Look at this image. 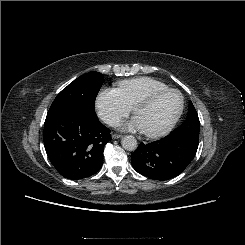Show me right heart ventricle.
Returning a JSON list of instances; mask_svg holds the SVG:
<instances>
[{
  "label": "right heart ventricle",
  "instance_id": "obj_1",
  "mask_svg": "<svg viewBox=\"0 0 245 245\" xmlns=\"http://www.w3.org/2000/svg\"><path fill=\"white\" fill-rule=\"evenodd\" d=\"M166 88L168 86L165 83L145 76L121 80L116 84V91L119 93L123 102L129 107L140 97Z\"/></svg>",
  "mask_w": 245,
  "mask_h": 245
}]
</instances>
